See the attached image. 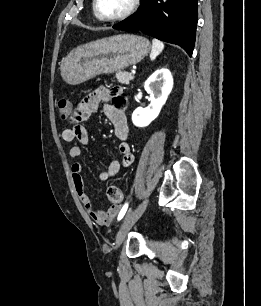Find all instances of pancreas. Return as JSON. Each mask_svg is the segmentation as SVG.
Masks as SVG:
<instances>
[{
	"label": "pancreas",
	"instance_id": "obj_1",
	"mask_svg": "<svg viewBox=\"0 0 261 306\" xmlns=\"http://www.w3.org/2000/svg\"><path fill=\"white\" fill-rule=\"evenodd\" d=\"M116 78L119 83L128 85L134 77L131 73L118 71L116 73Z\"/></svg>",
	"mask_w": 261,
	"mask_h": 306
}]
</instances>
